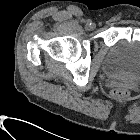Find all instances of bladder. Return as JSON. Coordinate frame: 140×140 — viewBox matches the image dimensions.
<instances>
[{
  "mask_svg": "<svg viewBox=\"0 0 140 140\" xmlns=\"http://www.w3.org/2000/svg\"><path fill=\"white\" fill-rule=\"evenodd\" d=\"M104 70L109 74L140 79V39H118L108 49Z\"/></svg>",
  "mask_w": 140,
  "mask_h": 140,
  "instance_id": "31cf9c89",
  "label": "bladder"
}]
</instances>
